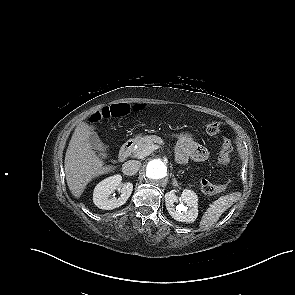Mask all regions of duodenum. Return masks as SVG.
I'll return each instance as SVG.
<instances>
[{
  "label": "duodenum",
  "mask_w": 295,
  "mask_h": 295,
  "mask_svg": "<svg viewBox=\"0 0 295 295\" xmlns=\"http://www.w3.org/2000/svg\"><path fill=\"white\" fill-rule=\"evenodd\" d=\"M133 146H134V141L133 140H128L127 142H125L122 145V147H121V149L119 151V159L121 161L126 160L130 156V154H131V152L133 150Z\"/></svg>",
  "instance_id": "410a0bca"
}]
</instances>
